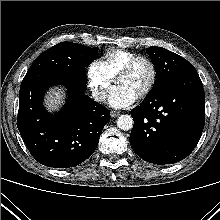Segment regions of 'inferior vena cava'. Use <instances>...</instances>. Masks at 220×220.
<instances>
[{
  "label": "inferior vena cava",
  "mask_w": 220,
  "mask_h": 220,
  "mask_svg": "<svg viewBox=\"0 0 220 220\" xmlns=\"http://www.w3.org/2000/svg\"><path fill=\"white\" fill-rule=\"evenodd\" d=\"M92 95L96 101H103L106 96L104 91H95Z\"/></svg>",
  "instance_id": "inferior-vena-cava-1"
}]
</instances>
